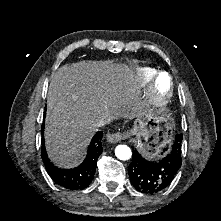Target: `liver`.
Instances as JSON below:
<instances>
[{
  "instance_id": "liver-1",
  "label": "liver",
  "mask_w": 221,
  "mask_h": 221,
  "mask_svg": "<svg viewBox=\"0 0 221 221\" xmlns=\"http://www.w3.org/2000/svg\"><path fill=\"white\" fill-rule=\"evenodd\" d=\"M138 92L135 74L125 64L106 60L61 66L47 96L45 145L51 161L63 168L77 166L98 120L134 117Z\"/></svg>"
}]
</instances>
